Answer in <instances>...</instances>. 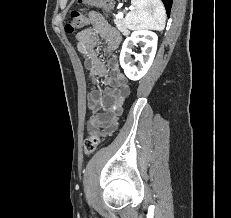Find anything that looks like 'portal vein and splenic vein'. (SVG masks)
<instances>
[{
  "label": "portal vein and splenic vein",
  "mask_w": 231,
  "mask_h": 218,
  "mask_svg": "<svg viewBox=\"0 0 231 218\" xmlns=\"http://www.w3.org/2000/svg\"><path fill=\"white\" fill-rule=\"evenodd\" d=\"M123 12H119L117 15H116V18H123Z\"/></svg>",
  "instance_id": "18ae733b"
}]
</instances>
